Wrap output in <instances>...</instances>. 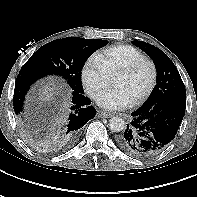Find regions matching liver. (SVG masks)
I'll list each match as a JSON object with an SVG mask.
<instances>
[{"mask_svg":"<svg viewBox=\"0 0 197 197\" xmlns=\"http://www.w3.org/2000/svg\"><path fill=\"white\" fill-rule=\"evenodd\" d=\"M57 89L58 87L54 84V81L49 80L38 88V100L41 101V103L50 102L53 100V96L56 92L55 90Z\"/></svg>","mask_w":197,"mask_h":197,"instance_id":"6515ba94","label":"liver"}]
</instances>
